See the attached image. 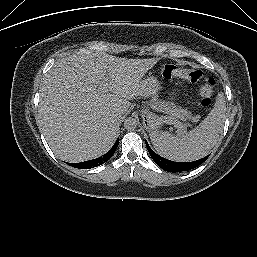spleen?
Listing matches in <instances>:
<instances>
[{
  "label": "spleen",
  "mask_w": 257,
  "mask_h": 257,
  "mask_svg": "<svg viewBox=\"0 0 257 257\" xmlns=\"http://www.w3.org/2000/svg\"><path fill=\"white\" fill-rule=\"evenodd\" d=\"M225 111V98L219 93L214 108L197 127L177 135L152 130L149 134L151 142L155 150L169 160L189 162L201 159L217 143L223 130Z\"/></svg>",
  "instance_id": "3e777b00"
}]
</instances>
